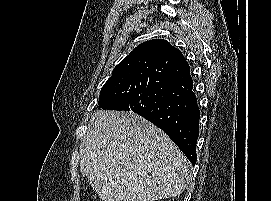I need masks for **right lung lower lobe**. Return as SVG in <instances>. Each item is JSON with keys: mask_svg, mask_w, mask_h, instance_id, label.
I'll list each match as a JSON object with an SVG mask.
<instances>
[{"mask_svg": "<svg viewBox=\"0 0 271 201\" xmlns=\"http://www.w3.org/2000/svg\"><path fill=\"white\" fill-rule=\"evenodd\" d=\"M146 89L122 101L119 110L133 111L162 129L194 166L200 111L190 69L174 49L150 69Z\"/></svg>", "mask_w": 271, "mask_h": 201, "instance_id": "obj_1", "label": "right lung lower lobe"}]
</instances>
